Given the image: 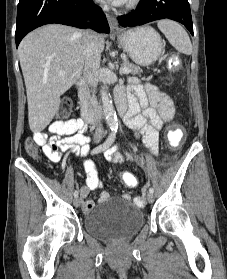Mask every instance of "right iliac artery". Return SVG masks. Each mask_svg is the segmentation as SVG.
I'll use <instances>...</instances> for the list:
<instances>
[{
    "label": "right iliac artery",
    "instance_id": "obj_1",
    "mask_svg": "<svg viewBox=\"0 0 227 279\" xmlns=\"http://www.w3.org/2000/svg\"><path fill=\"white\" fill-rule=\"evenodd\" d=\"M114 140H115V132H111V133L109 134L107 140H106L104 143L100 144L99 146L95 147V148L91 151V153H92V154H97V153H100V152L105 151L106 149H108V148L112 145V143L114 142ZM74 197H75V198L78 197V191H75V192H74Z\"/></svg>",
    "mask_w": 227,
    "mask_h": 279
}]
</instances>
